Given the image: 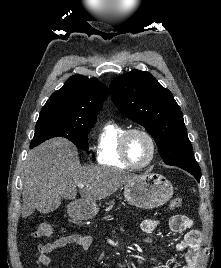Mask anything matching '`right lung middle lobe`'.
Returning <instances> with one entry per match:
<instances>
[{
  "label": "right lung middle lobe",
  "instance_id": "right-lung-middle-lobe-1",
  "mask_svg": "<svg viewBox=\"0 0 221 268\" xmlns=\"http://www.w3.org/2000/svg\"><path fill=\"white\" fill-rule=\"evenodd\" d=\"M95 122L96 119L79 118L63 112H41L30 148L53 137H64L78 148L87 151L88 133Z\"/></svg>",
  "mask_w": 221,
  "mask_h": 268
}]
</instances>
